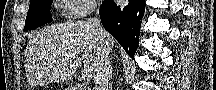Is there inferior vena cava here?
Instances as JSON below:
<instances>
[{
    "instance_id": "obj_1",
    "label": "inferior vena cava",
    "mask_w": 216,
    "mask_h": 90,
    "mask_svg": "<svg viewBox=\"0 0 216 90\" xmlns=\"http://www.w3.org/2000/svg\"><path fill=\"white\" fill-rule=\"evenodd\" d=\"M97 6L90 8V12H95ZM93 32H96L97 38L100 40L99 60L92 66L91 74L95 82L94 90H112V64L110 62L111 48L108 44L109 36H105L104 28L101 26L100 18L94 16L90 20Z\"/></svg>"
}]
</instances>
